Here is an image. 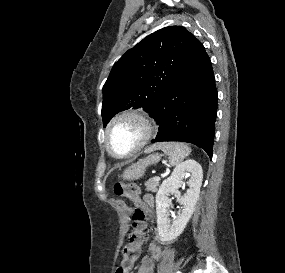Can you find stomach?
Wrapping results in <instances>:
<instances>
[{"label":"stomach","instance_id":"0dacf381","mask_svg":"<svg viewBox=\"0 0 285 273\" xmlns=\"http://www.w3.org/2000/svg\"><path fill=\"white\" fill-rule=\"evenodd\" d=\"M159 160L160 156L158 154L150 155L127 168L123 172L122 178L124 180H137L144 175L149 165L156 164Z\"/></svg>","mask_w":285,"mask_h":273}]
</instances>
